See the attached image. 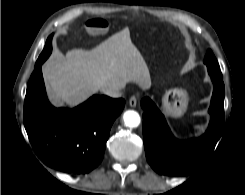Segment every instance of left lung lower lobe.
Segmentation results:
<instances>
[{
	"mask_svg": "<svg viewBox=\"0 0 245 195\" xmlns=\"http://www.w3.org/2000/svg\"><path fill=\"white\" fill-rule=\"evenodd\" d=\"M211 79L214 85L209 108L211 120L206 133L198 139H176L156 105L149 98L141 101L146 158L157 173L167 176L191 174L213 151L223 131L225 88L222 78L211 76Z\"/></svg>",
	"mask_w": 245,
	"mask_h": 195,
	"instance_id": "obj_1",
	"label": "left lung lower lobe"
}]
</instances>
